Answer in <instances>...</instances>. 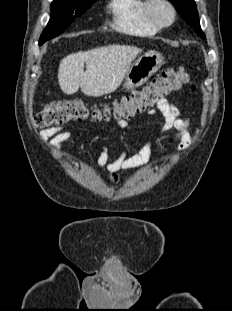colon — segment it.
<instances>
[{
	"label": "colon",
	"instance_id": "1",
	"mask_svg": "<svg viewBox=\"0 0 232 311\" xmlns=\"http://www.w3.org/2000/svg\"><path fill=\"white\" fill-rule=\"evenodd\" d=\"M191 81L192 76L186 69L166 68L158 73L148 85L131 91L111 106L90 108L78 98L47 104L37 113L35 124L39 128H47L89 117L95 120L127 119L154 107L159 101Z\"/></svg>",
	"mask_w": 232,
	"mask_h": 311
}]
</instances>
